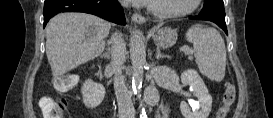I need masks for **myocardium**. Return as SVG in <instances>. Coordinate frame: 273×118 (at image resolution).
<instances>
[{"mask_svg":"<svg viewBox=\"0 0 273 118\" xmlns=\"http://www.w3.org/2000/svg\"><path fill=\"white\" fill-rule=\"evenodd\" d=\"M200 2L201 0H191V4L189 5V7L178 11H159L152 4H150L148 5V10L151 14L160 18L165 19L177 18L194 12L198 8Z\"/></svg>","mask_w":273,"mask_h":118,"instance_id":"1","label":"myocardium"}]
</instances>
